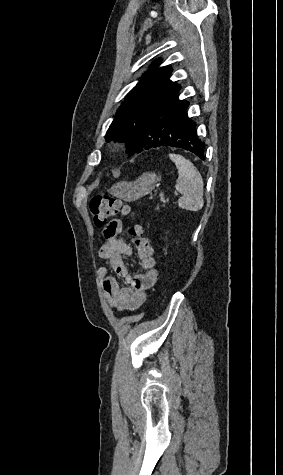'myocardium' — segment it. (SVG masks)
<instances>
[{"label":"myocardium","mask_w":283,"mask_h":475,"mask_svg":"<svg viewBox=\"0 0 283 475\" xmlns=\"http://www.w3.org/2000/svg\"><path fill=\"white\" fill-rule=\"evenodd\" d=\"M110 149L113 153H118L120 151H122L123 149V144L121 142H113L111 145H110Z\"/></svg>","instance_id":"1"}]
</instances>
